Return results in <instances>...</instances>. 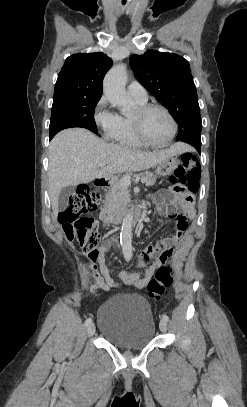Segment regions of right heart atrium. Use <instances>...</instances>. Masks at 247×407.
<instances>
[{
  "instance_id": "1",
  "label": "right heart atrium",
  "mask_w": 247,
  "mask_h": 407,
  "mask_svg": "<svg viewBox=\"0 0 247 407\" xmlns=\"http://www.w3.org/2000/svg\"><path fill=\"white\" fill-rule=\"evenodd\" d=\"M93 119L103 135L110 138L116 127L118 114L109 109L106 96H101L96 103L93 111Z\"/></svg>"
}]
</instances>
